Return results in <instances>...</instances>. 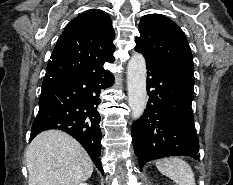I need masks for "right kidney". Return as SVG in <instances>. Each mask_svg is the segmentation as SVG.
Masks as SVG:
<instances>
[{"mask_svg": "<svg viewBox=\"0 0 233 185\" xmlns=\"http://www.w3.org/2000/svg\"><path fill=\"white\" fill-rule=\"evenodd\" d=\"M79 185H88L87 183H80Z\"/></svg>", "mask_w": 233, "mask_h": 185, "instance_id": "obj_1", "label": "right kidney"}]
</instances>
